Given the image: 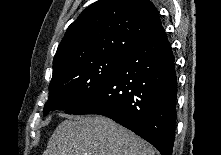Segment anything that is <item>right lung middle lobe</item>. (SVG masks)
I'll return each instance as SVG.
<instances>
[{"instance_id":"right-lung-middle-lobe-1","label":"right lung middle lobe","mask_w":221,"mask_h":155,"mask_svg":"<svg viewBox=\"0 0 221 155\" xmlns=\"http://www.w3.org/2000/svg\"><path fill=\"white\" fill-rule=\"evenodd\" d=\"M126 54H105L74 61L53 74L44 116L55 109L77 115L106 84Z\"/></svg>"}]
</instances>
